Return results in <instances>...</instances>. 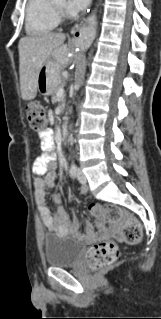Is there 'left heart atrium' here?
<instances>
[{
	"label": "left heart atrium",
	"instance_id": "1",
	"mask_svg": "<svg viewBox=\"0 0 161 319\" xmlns=\"http://www.w3.org/2000/svg\"><path fill=\"white\" fill-rule=\"evenodd\" d=\"M90 0H67L66 9L70 13H77L83 10L89 3Z\"/></svg>",
	"mask_w": 161,
	"mask_h": 319
}]
</instances>
